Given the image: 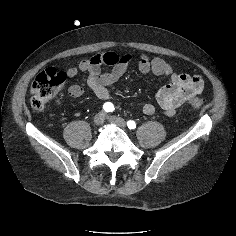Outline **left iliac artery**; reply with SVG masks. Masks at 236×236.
Returning <instances> with one entry per match:
<instances>
[{"label": "left iliac artery", "mask_w": 236, "mask_h": 236, "mask_svg": "<svg viewBox=\"0 0 236 236\" xmlns=\"http://www.w3.org/2000/svg\"><path fill=\"white\" fill-rule=\"evenodd\" d=\"M127 126H128L129 129H135L136 128V123L132 120H129L127 122Z\"/></svg>", "instance_id": "1"}]
</instances>
